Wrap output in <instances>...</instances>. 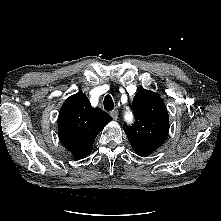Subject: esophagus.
Returning <instances> with one entry per match:
<instances>
[{
  "label": "esophagus",
  "mask_w": 221,
  "mask_h": 221,
  "mask_svg": "<svg viewBox=\"0 0 221 221\" xmlns=\"http://www.w3.org/2000/svg\"><path fill=\"white\" fill-rule=\"evenodd\" d=\"M110 115L112 116V118L114 120H117V118H118V111L117 110H113V111L110 112Z\"/></svg>",
  "instance_id": "34e87169"
}]
</instances>
